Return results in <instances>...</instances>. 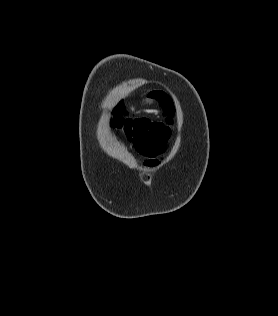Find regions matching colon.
Returning a JSON list of instances; mask_svg holds the SVG:
<instances>
[{
    "mask_svg": "<svg viewBox=\"0 0 278 316\" xmlns=\"http://www.w3.org/2000/svg\"><path fill=\"white\" fill-rule=\"evenodd\" d=\"M114 125L122 129L134 149L145 156H159L167 149L170 130L162 123L116 115Z\"/></svg>",
    "mask_w": 278,
    "mask_h": 316,
    "instance_id": "obj_1",
    "label": "colon"
}]
</instances>
